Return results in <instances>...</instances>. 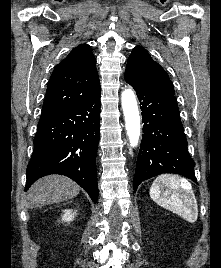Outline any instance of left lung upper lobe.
Listing matches in <instances>:
<instances>
[{
  "label": "left lung upper lobe",
  "instance_id": "left-lung-upper-lobe-1",
  "mask_svg": "<svg viewBox=\"0 0 221 268\" xmlns=\"http://www.w3.org/2000/svg\"><path fill=\"white\" fill-rule=\"evenodd\" d=\"M125 80L134 87L159 93L175 94L167 73L140 46L135 47L128 58Z\"/></svg>",
  "mask_w": 221,
  "mask_h": 268
}]
</instances>
